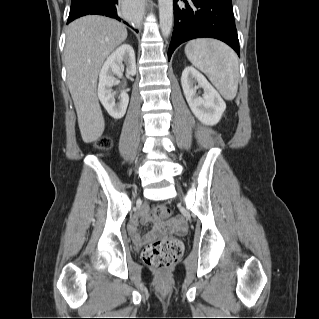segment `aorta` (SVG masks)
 Returning <instances> with one entry per match:
<instances>
[{
  "mask_svg": "<svg viewBox=\"0 0 319 319\" xmlns=\"http://www.w3.org/2000/svg\"><path fill=\"white\" fill-rule=\"evenodd\" d=\"M162 35L168 37L173 26V0H158Z\"/></svg>",
  "mask_w": 319,
  "mask_h": 319,
  "instance_id": "1",
  "label": "aorta"
}]
</instances>
